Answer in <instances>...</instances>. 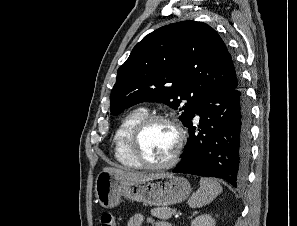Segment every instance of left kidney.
Segmentation results:
<instances>
[{
	"instance_id": "5707ae66",
	"label": "left kidney",
	"mask_w": 297,
	"mask_h": 226,
	"mask_svg": "<svg viewBox=\"0 0 297 226\" xmlns=\"http://www.w3.org/2000/svg\"><path fill=\"white\" fill-rule=\"evenodd\" d=\"M191 226H215V221L209 214H203L192 220Z\"/></svg>"
}]
</instances>
